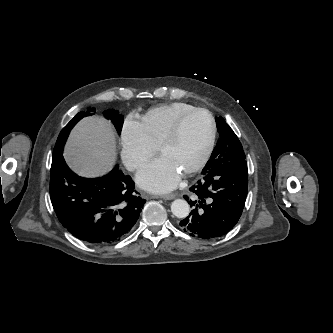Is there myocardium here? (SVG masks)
Returning a JSON list of instances; mask_svg holds the SVG:
<instances>
[{"instance_id": "myocardium-1", "label": "myocardium", "mask_w": 333, "mask_h": 333, "mask_svg": "<svg viewBox=\"0 0 333 333\" xmlns=\"http://www.w3.org/2000/svg\"><path fill=\"white\" fill-rule=\"evenodd\" d=\"M199 112L207 114L209 118L210 121L209 138L200 159L197 161L195 165H193L191 168L183 172L184 176H191L197 173L207 164L208 160L210 159V156L215 146L216 134H217V125L213 114L208 109L201 107H195L189 111L184 112L175 120V122L172 124V126L167 131V133L165 134V136L162 138L161 142L158 145L159 151L162 152L167 145L174 142L178 138L181 128L186 119L191 115Z\"/></svg>"}]
</instances>
